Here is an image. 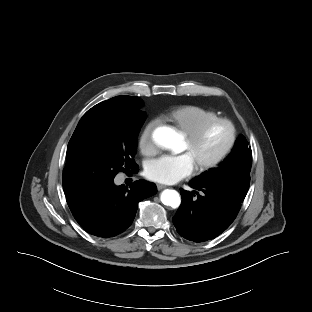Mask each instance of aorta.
<instances>
[{
    "mask_svg": "<svg viewBox=\"0 0 312 312\" xmlns=\"http://www.w3.org/2000/svg\"><path fill=\"white\" fill-rule=\"evenodd\" d=\"M153 140L157 145L166 149H172L175 146L174 135L167 127L156 128L153 132ZM161 201L164 205L177 208L181 203V198L176 190L166 189L161 194Z\"/></svg>",
    "mask_w": 312,
    "mask_h": 312,
    "instance_id": "762f6f07",
    "label": "aorta"
}]
</instances>
